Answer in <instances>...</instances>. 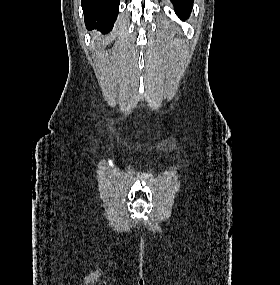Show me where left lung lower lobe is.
Instances as JSON below:
<instances>
[{
	"mask_svg": "<svg viewBox=\"0 0 280 285\" xmlns=\"http://www.w3.org/2000/svg\"><path fill=\"white\" fill-rule=\"evenodd\" d=\"M194 0H171L174 5L176 14L180 19L185 20L189 17Z\"/></svg>",
	"mask_w": 280,
	"mask_h": 285,
	"instance_id": "1",
	"label": "left lung lower lobe"
}]
</instances>
